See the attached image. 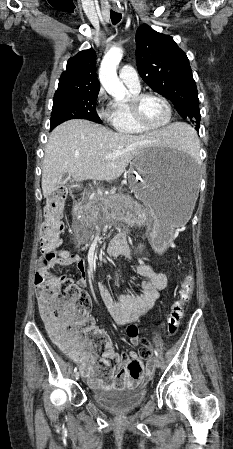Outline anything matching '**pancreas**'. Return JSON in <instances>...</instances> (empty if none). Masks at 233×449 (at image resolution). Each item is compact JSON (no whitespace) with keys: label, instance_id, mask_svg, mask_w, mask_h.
<instances>
[{"label":"pancreas","instance_id":"1","mask_svg":"<svg viewBox=\"0 0 233 449\" xmlns=\"http://www.w3.org/2000/svg\"><path fill=\"white\" fill-rule=\"evenodd\" d=\"M120 201L127 202L126 206L130 210L129 216L133 224L144 226L149 223L148 209H144L133 202L130 196L121 193L106 196L93 193L85 206L90 224H95V222L102 218H113L119 215L122 208L121 205H118Z\"/></svg>","mask_w":233,"mask_h":449}]
</instances>
